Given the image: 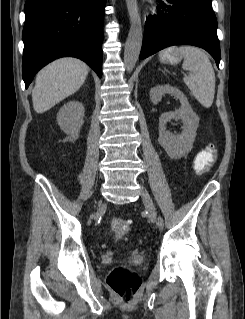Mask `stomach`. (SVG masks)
<instances>
[{"instance_id": "stomach-1", "label": "stomach", "mask_w": 245, "mask_h": 319, "mask_svg": "<svg viewBox=\"0 0 245 319\" xmlns=\"http://www.w3.org/2000/svg\"><path fill=\"white\" fill-rule=\"evenodd\" d=\"M159 57L163 63H168V64H176L181 59L179 53L175 51L174 48H169L162 51L159 54Z\"/></svg>"}]
</instances>
